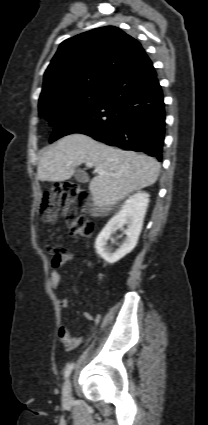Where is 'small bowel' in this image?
Wrapping results in <instances>:
<instances>
[{"instance_id":"obj_1","label":"small bowel","mask_w":208,"mask_h":425,"mask_svg":"<svg viewBox=\"0 0 208 425\" xmlns=\"http://www.w3.org/2000/svg\"><path fill=\"white\" fill-rule=\"evenodd\" d=\"M73 258H74V255L72 253L65 251L61 254L58 263L53 262L54 269L51 272L50 284H51V287L54 290H57L59 283H60V279H61V274L58 270V267L65 264L66 262L72 260ZM81 262L84 263L87 266H90V264H91L90 261L85 260V259L81 260ZM58 304H59V307L62 310H65L68 307L67 301L62 297L58 298ZM85 317L88 320H90L93 324H97L100 321V318H101V316L99 314L92 315L90 313H85ZM59 339L67 350H73V349L77 348L83 340L82 337L72 336L69 329L67 328V326L65 324H62L59 327Z\"/></svg>"}]
</instances>
